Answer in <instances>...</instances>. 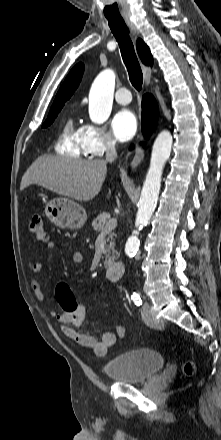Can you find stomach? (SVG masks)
<instances>
[{
  "label": "stomach",
  "mask_w": 221,
  "mask_h": 440,
  "mask_svg": "<svg viewBox=\"0 0 221 440\" xmlns=\"http://www.w3.org/2000/svg\"><path fill=\"white\" fill-rule=\"evenodd\" d=\"M45 214L60 228L79 229L87 220L85 209L77 202L65 197L54 198L47 202Z\"/></svg>",
  "instance_id": "stomach-1"
}]
</instances>
